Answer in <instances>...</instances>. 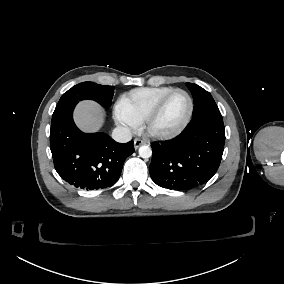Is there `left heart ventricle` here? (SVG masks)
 Here are the masks:
<instances>
[{"label":"left heart ventricle","instance_id":"left-heart-ventricle-1","mask_svg":"<svg viewBox=\"0 0 284 284\" xmlns=\"http://www.w3.org/2000/svg\"><path fill=\"white\" fill-rule=\"evenodd\" d=\"M189 110L187 96L175 92L165 102L160 113L153 119L151 129L156 133H169L176 130L185 120Z\"/></svg>","mask_w":284,"mask_h":284}]
</instances>
